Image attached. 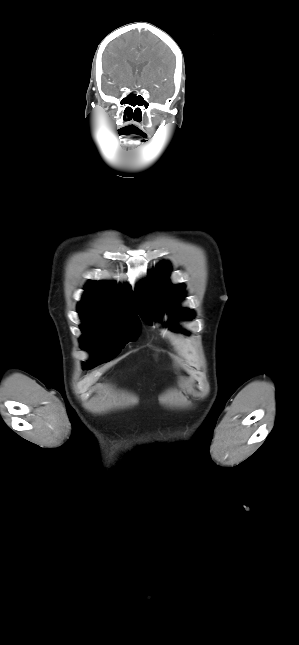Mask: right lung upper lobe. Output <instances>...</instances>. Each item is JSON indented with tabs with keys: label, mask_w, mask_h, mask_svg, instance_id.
<instances>
[{
	"label": "right lung upper lobe",
	"mask_w": 299,
	"mask_h": 645,
	"mask_svg": "<svg viewBox=\"0 0 299 645\" xmlns=\"http://www.w3.org/2000/svg\"><path fill=\"white\" fill-rule=\"evenodd\" d=\"M130 287L116 286L108 281H89L85 287L78 311L82 313L108 312L139 319L134 308Z\"/></svg>",
	"instance_id": "right-lung-upper-lobe-1"
}]
</instances>
